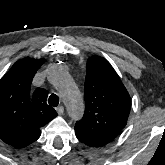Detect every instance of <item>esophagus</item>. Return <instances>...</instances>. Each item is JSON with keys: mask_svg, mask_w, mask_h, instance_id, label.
Listing matches in <instances>:
<instances>
[{"mask_svg": "<svg viewBox=\"0 0 165 165\" xmlns=\"http://www.w3.org/2000/svg\"><path fill=\"white\" fill-rule=\"evenodd\" d=\"M56 111H57V113H58L59 115H62L63 112H64V107H63V106H59V107L56 108Z\"/></svg>", "mask_w": 165, "mask_h": 165, "instance_id": "obj_1", "label": "esophagus"}]
</instances>
